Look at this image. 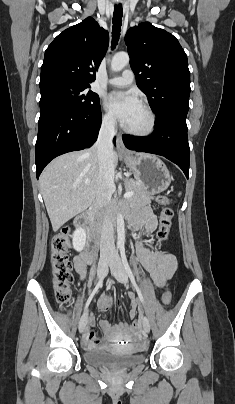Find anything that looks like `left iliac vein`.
Here are the masks:
<instances>
[{
	"instance_id": "4c4485c4",
	"label": "left iliac vein",
	"mask_w": 235,
	"mask_h": 404,
	"mask_svg": "<svg viewBox=\"0 0 235 404\" xmlns=\"http://www.w3.org/2000/svg\"><path fill=\"white\" fill-rule=\"evenodd\" d=\"M109 267L113 272L114 277L116 280L122 284H127L128 282V274L121 262L120 256L118 252H114L109 263ZM142 326L146 333L150 332V323L147 317H142Z\"/></svg>"
}]
</instances>
